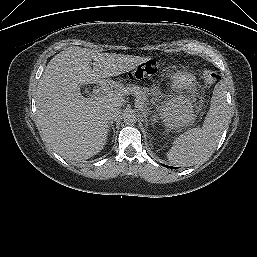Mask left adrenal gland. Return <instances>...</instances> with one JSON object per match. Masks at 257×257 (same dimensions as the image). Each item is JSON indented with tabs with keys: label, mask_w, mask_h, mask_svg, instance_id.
<instances>
[{
	"label": "left adrenal gland",
	"mask_w": 257,
	"mask_h": 257,
	"mask_svg": "<svg viewBox=\"0 0 257 257\" xmlns=\"http://www.w3.org/2000/svg\"><path fill=\"white\" fill-rule=\"evenodd\" d=\"M143 117L145 118V121L147 122V114H146V112H143Z\"/></svg>",
	"instance_id": "1"
}]
</instances>
